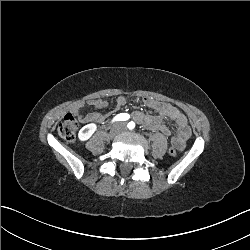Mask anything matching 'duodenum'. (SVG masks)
Wrapping results in <instances>:
<instances>
[{
  "mask_svg": "<svg viewBox=\"0 0 250 250\" xmlns=\"http://www.w3.org/2000/svg\"><path fill=\"white\" fill-rule=\"evenodd\" d=\"M99 102H106V100H104V99H100V100H99Z\"/></svg>",
  "mask_w": 250,
  "mask_h": 250,
  "instance_id": "duodenum-1",
  "label": "duodenum"
}]
</instances>
